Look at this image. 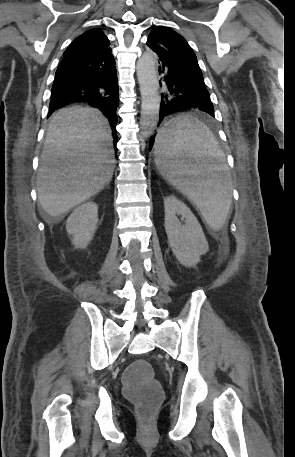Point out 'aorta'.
<instances>
[{"label": "aorta", "mask_w": 295, "mask_h": 457, "mask_svg": "<svg viewBox=\"0 0 295 457\" xmlns=\"http://www.w3.org/2000/svg\"><path fill=\"white\" fill-rule=\"evenodd\" d=\"M136 69L142 102L140 129L142 136L149 137L155 130L160 110L155 54L151 51L143 53L137 61Z\"/></svg>", "instance_id": "aorta-1"}]
</instances>
